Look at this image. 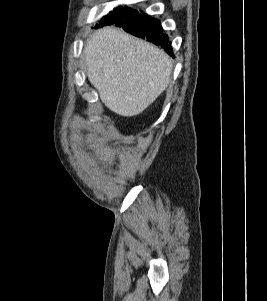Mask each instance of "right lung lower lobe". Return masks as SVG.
I'll list each match as a JSON object with an SVG mask.
<instances>
[{
	"label": "right lung lower lobe",
	"mask_w": 267,
	"mask_h": 301,
	"mask_svg": "<svg viewBox=\"0 0 267 301\" xmlns=\"http://www.w3.org/2000/svg\"><path fill=\"white\" fill-rule=\"evenodd\" d=\"M116 26L137 37L146 38L149 42L161 46L168 54L173 56L169 38L163 33L160 21L147 14H134L115 23ZM174 57V56H173Z\"/></svg>",
	"instance_id": "obj_1"
}]
</instances>
